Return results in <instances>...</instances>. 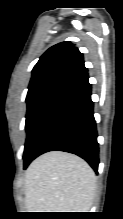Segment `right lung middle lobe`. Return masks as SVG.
<instances>
[{"mask_svg": "<svg viewBox=\"0 0 123 219\" xmlns=\"http://www.w3.org/2000/svg\"><path fill=\"white\" fill-rule=\"evenodd\" d=\"M70 84L67 80H56L45 83L28 91L26 114V143L24 148V164L30 159L31 148L36 140L42 123L49 110Z\"/></svg>", "mask_w": 123, "mask_h": 219, "instance_id": "obj_1", "label": "right lung middle lobe"}]
</instances>
